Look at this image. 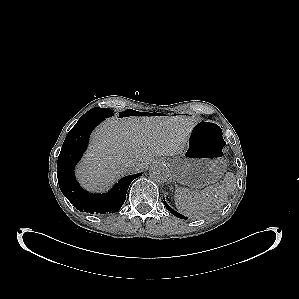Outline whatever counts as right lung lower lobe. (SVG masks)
Listing matches in <instances>:
<instances>
[{"label":"right lung lower lobe","mask_w":299,"mask_h":299,"mask_svg":"<svg viewBox=\"0 0 299 299\" xmlns=\"http://www.w3.org/2000/svg\"><path fill=\"white\" fill-rule=\"evenodd\" d=\"M105 118L79 119L67 134L57 163V177L60 190L79 210L91 214L118 212L124 204L130 183L141 174L122 178L106 194H91L84 191L74 176V166L80 160L88 145L92 130Z\"/></svg>","instance_id":"98d812e1"}]
</instances>
